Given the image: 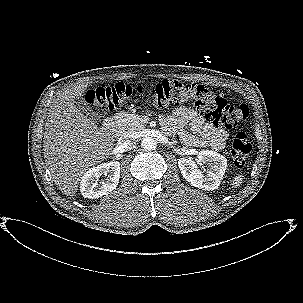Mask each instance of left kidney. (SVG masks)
<instances>
[{
  "label": "left kidney",
  "instance_id": "5707ae66",
  "mask_svg": "<svg viewBox=\"0 0 303 303\" xmlns=\"http://www.w3.org/2000/svg\"><path fill=\"white\" fill-rule=\"evenodd\" d=\"M197 158L198 163L208 164L207 175L204 176L190 158H181L178 160V165L183 178L200 189L208 191L217 189L225 174L227 159L212 150L200 151Z\"/></svg>",
  "mask_w": 303,
  "mask_h": 303
}]
</instances>
